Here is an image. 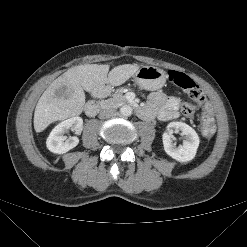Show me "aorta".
Listing matches in <instances>:
<instances>
[{"label":"aorta","mask_w":247,"mask_h":247,"mask_svg":"<svg viewBox=\"0 0 247 247\" xmlns=\"http://www.w3.org/2000/svg\"><path fill=\"white\" fill-rule=\"evenodd\" d=\"M132 111H133V109H132V107L129 106V105H124V106H122V107L120 108V113H121L123 116H126V117L131 116Z\"/></svg>","instance_id":"762f6f07"}]
</instances>
